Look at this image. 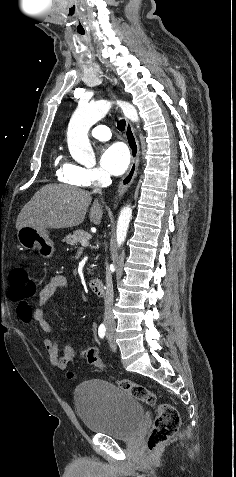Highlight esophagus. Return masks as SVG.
Instances as JSON below:
<instances>
[{
    "label": "esophagus",
    "mask_w": 236,
    "mask_h": 477,
    "mask_svg": "<svg viewBox=\"0 0 236 477\" xmlns=\"http://www.w3.org/2000/svg\"><path fill=\"white\" fill-rule=\"evenodd\" d=\"M125 135L126 140L131 152V163L129 169L125 176L122 178L118 185L117 195H122L132 184L133 180L135 179L138 171L139 166V143L136 138L134 129L129 121H126V128H125Z\"/></svg>",
    "instance_id": "34e87169"
}]
</instances>
